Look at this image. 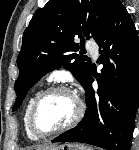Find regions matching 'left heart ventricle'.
<instances>
[{"label": "left heart ventricle", "instance_id": "1", "mask_svg": "<svg viewBox=\"0 0 139 150\" xmlns=\"http://www.w3.org/2000/svg\"><path fill=\"white\" fill-rule=\"evenodd\" d=\"M77 109L73 95L67 92H54L40 103L35 122L41 131H50L69 123Z\"/></svg>", "mask_w": 139, "mask_h": 150}]
</instances>
